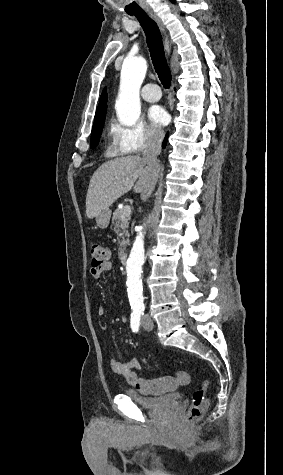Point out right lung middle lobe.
I'll use <instances>...</instances> for the list:
<instances>
[{
    "label": "right lung middle lobe",
    "mask_w": 283,
    "mask_h": 475,
    "mask_svg": "<svg viewBox=\"0 0 283 475\" xmlns=\"http://www.w3.org/2000/svg\"><path fill=\"white\" fill-rule=\"evenodd\" d=\"M106 111H107V105H102L97 108V111L95 113V119H94V124L92 128V133H91V144H90V147L92 149L95 148L99 143L100 135L102 133V128L105 121Z\"/></svg>",
    "instance_id": "obj_1"
}]
</instances>
